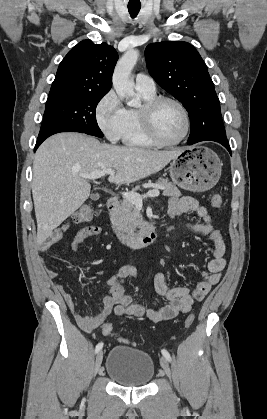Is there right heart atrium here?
I'll return each mask as SVG.
<instances>
[{
	"instance_id": "d8ad5b80",
	"label": "right heart atrium",
	"mask_w": 267,
	"mask_h": 419,
	"mask_svg": "<svg viewBox=\"0 0 267 419\" xmlns=\"http://www.w3.org/2000/svg\"><path fill=\"white\" fill-rule=\"evenodd\" d=\"M99 129L112 142L122 138L125 125V108L115 91H108L95 107Z\"/></svg>"
}]
</instances>
